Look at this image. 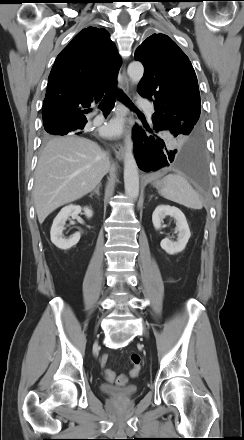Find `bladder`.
I'll list each match as a JSON object with an SVG mask.
<instances>
[{"label":"bladder","instance_id":"bladder-1","mask_svg":"<svg viewBox=\"0 0 244 440\" xmlns=\"http://www.w3.org/2000/svg\"><path fill=\"white\" fill-rule=\"evenodd\" d=\"M100 390L106 396L119 401L131 400L138 393V389L135 386L116 387L110 384H101Z\"/></svg>","mask_w":244,"mask_h":440}]
</instances>
